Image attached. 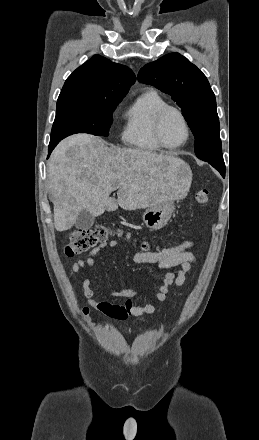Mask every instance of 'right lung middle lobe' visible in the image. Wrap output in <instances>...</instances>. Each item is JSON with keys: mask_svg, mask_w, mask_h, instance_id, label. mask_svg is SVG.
Masks as SVG:
<instances>
[{"mask_svg": "<svg viewBox=\"0 0 259 440\" xmlns=\"http://www.w3.org/2000/svg\"><path fill=\"white\" fill-rule=\"evenodd\" d=\"M122 99L97 102L80 98H58L50 141L75 133L108 136L112 113Z\"/></svg>", "mask_w": 259, "mask_h": 440, "instance_id": "right-lung-middle-lobe-1", "label": "right lung middle lobe"}]
</instances>
